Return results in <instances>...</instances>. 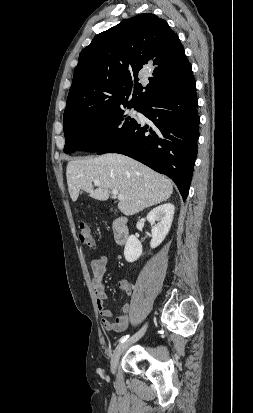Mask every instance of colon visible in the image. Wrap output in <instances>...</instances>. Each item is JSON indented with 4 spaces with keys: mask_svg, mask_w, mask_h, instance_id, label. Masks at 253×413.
<instances>
[{
    "mask_svg": "<svg viewBox=\"0 0 253 413\" xmlns=\"http://www.w3.org/2000/svg\"><path fill=\"white\" fill-rule=\"evenodd\" d=\"M78 236L83 244L89 247H92L94 245V238L92 232L89 226L84 221H80L78 225Z\"/></svg>",
    "mask_w": 253,
    "mask_h": 413,
    "instance_id": "colon-1",
    "label": "colon"
}]
</instances>
